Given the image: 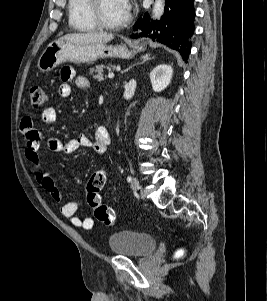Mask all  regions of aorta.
I'll use <instances>...</instances> for the list:
<instances>
[{
	"label": "aorta",
	"instance_id": "aorta-1",
	"mask_svg": "<svg viewBox=\"0 0 267 301\" xmlns=\"http://www.w3.org/2000/svg\"><path fill=\"white\" fill-rule=\"evenodd\" d=\"M164 8H165V0H155L153 10H152V18L160 19L161 16L164 14Z\"/></svg>",
	"mask_w": 267,
	"mask_h": 301
}]
</instances>
